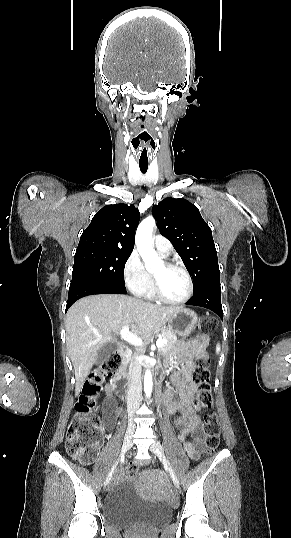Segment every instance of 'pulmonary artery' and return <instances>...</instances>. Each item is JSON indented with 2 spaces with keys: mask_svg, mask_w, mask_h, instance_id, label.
<instances>
[{
  "mask_svg": "<svg viewBox=\"0 0 291 538\" xmlns=\"http://www.w3.org/2000/svg\"><path fill=\"white\" fill-rule=\"evenodd\" d=\"M154 247L164 257H167L172 252L170 241L162 235H157L154 238Z\"/></svg>",
  "mask_w": 291,
  "mask_h": 538,
  "instance_id": "pulmonary-artery-1",
  "label": "pulmonary artery"
}]
</instances>
